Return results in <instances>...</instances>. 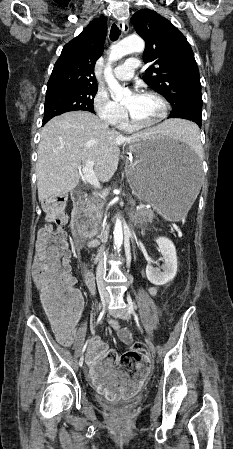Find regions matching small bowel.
I'll use <instances>...</instances> for the list:
<instances>
[{
	"instance_id": "obj_1",
	"label": "small bowel",
	"mask_w": 233,
	"mask_h": 449,
	"mask_svg": "<svg viewBox=\"0 0 233 449\" xmlns=\"http://www.w3.org/2000/svg\"><path fill=\"white\" fill-rule=\"evenodd\" d=\"M81 279L85 281L88 292L96 289V273L83 272ZM152 295L157 293L156 287L149 289ZM81 308V307H80ZM118 330L120 340L131 345L133 338L131 332L121 327L117 321L112 322ZM75 321L69 325L55 323V331L58 340L65 346H70L75 336ZM86 361L90 367V378L97 386L99 399H132L136 390L142 389L144 377L150 376L149 368H133L130 375H126L124 368H115L118 354L99 337L94 336L90 340V346L86 355Z\"/></svg>"
}]
</instances>
